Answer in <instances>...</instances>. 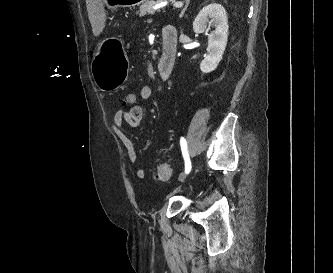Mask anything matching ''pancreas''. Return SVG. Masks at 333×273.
<instances>
[{
  "mask_svg": "<svg viewBox=\"0 0 333 273\" xmlns=\"http://www.w3.org/2000/svg\"><path fill=\"white\" fill-rule=\"evenodd\" d=\"M163 0H148L146 3L140 6V9L137 11V14L141 17L146 14H153L156 10L153 8L156 4L161 3ZM174 2V0H171Z\"/></svg>",
  "mask_w": 333,
  "mask_h": 273,
  "instance_id": "pancreas-1",
  "label": "pancreas"
}]
</instances>
